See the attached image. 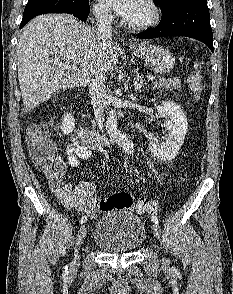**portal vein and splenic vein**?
Listing matches in <instances>:
<instances>
[{
    "label": "portal vein and splenic vein",
    "instance_id": "portal-vein-and-splenic-vein-1",
    "mask_svg": "<svg viewBox=\"0 0 233 294\" xmlns=\"http://www.w3.org/2000/svg\"><path fill=\"white\" fill-rule=\"evenodd\" d=\"M57 63V62H56ZM60 67H63V68H65V69H69V70H74V71H76L77 70V67H75V66H70L69 64H66V63H62V62H60V63H57ZM147 79H149V80H155V77L154 76H152V75H148L147 76Z\"/></svg>",
    "mask_w": 233,
    "mask_h": 294
}]
</instances>
